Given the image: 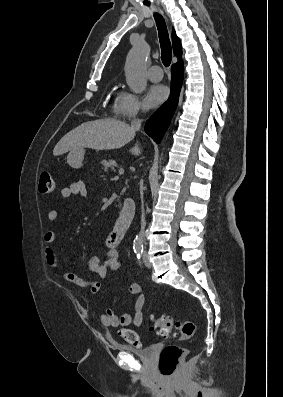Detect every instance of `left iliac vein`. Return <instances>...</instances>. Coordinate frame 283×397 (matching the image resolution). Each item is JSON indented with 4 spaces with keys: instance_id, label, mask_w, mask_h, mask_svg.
I'll return each mask as SVG.
<instances>
[{
    "instance_id": "left-iliac-vein-1",
    "label": "left iliac vein",
    "mask_w": 283,
    "mask_h": 397,
    "mask_svg": "<svg viewBox=\"0 0 283 397\" xmlns=\"http://www.w3.org/2000/svg\"><path fill=\"white\" fill-rule=\"evenodd\" d=\"M143 261L147 268H151V263H150L149 258L146 254H144Z\"/></svg>"
}]
</instances>
